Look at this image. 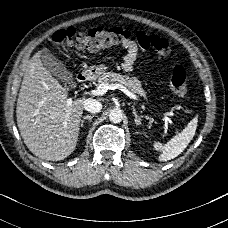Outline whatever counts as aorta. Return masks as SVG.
Here are the masks:
<instances>
[{"label":"aorta","mask_w":228,"mask_h":228,"mask_svg":"<svg viewBox=\"0 0 228 228\" xmlns=\"http://www.w3.org/2000/svg\"><path fill=\"white\" fill-rule=\"evenodd\" d=\"M123 112L120 109H112L109 112V120L113 123H119L122 121Z\"/></svg>","instance_id":"aorta-1"}]
</instances>
